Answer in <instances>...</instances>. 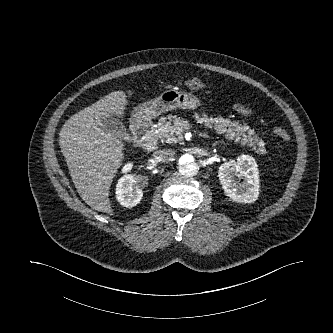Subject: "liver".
<instances>
[{
    "label": "liver",
    "mask_w": 333,
    "mask_h": 333,
    "mask_svg": "<svg viewBox=\"0 0 333 333\" xmlns=\"http://www.w3.org/2000/svg\"><path fill=\"white\" fill-rule=\"evenodd\" d=\"M124 91H114L70 117L60 131V146L80 197L97 211L113 215L109 189L121 161L124 143L104 131L100 114L123 118L128 103Z\"/></svg>",
    "instance_id": "6515ba94"
}]
</instances>
